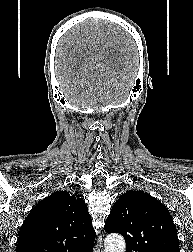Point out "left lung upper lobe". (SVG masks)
I'll return each mask as SVG.
<instances>
[{
	"mask_svg": "<svg viewBox=\"0 0 193 252\" xmlns=\"http://www.w3.org/2000/svg\"><path fill=\"white\" fill-rule=\"evenodd\" d=\"M104 229L126 240V252H179L177 230L161 202L142 191H127L112 207Z\"/></svg>",
	"mask_w": 193,
	"mask_h": 252,
	"instance_id": "left-lung-upper-lobe-1",
	"label": "left lung upper lobe"
}]
</instances>
